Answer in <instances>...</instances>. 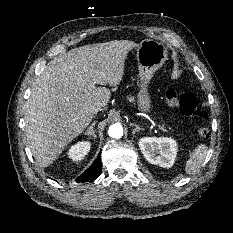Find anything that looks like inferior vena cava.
Masks as SVG:
<instances>
[{
	"instance_id": "602c4592",
	"label": "inferior vena cava",
	"mask_w": 233,
	"mask_h": 233,
	"mask_svg": "<svg viewBox=\"0 0 233 233\" xmlns=\"http://www.w3.org/2000/svg\"><path fill=\"white\" fill-rule=\"evenodd\" d=\"M101 110L102 108L98 106V107H95L93 111L96 114L98 111H101Z\"/></svg>"
}]
</instances>
